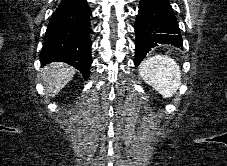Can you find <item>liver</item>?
I'll return each mask as SVG.
<instances>
[{
  "label": "liver",
  "instance_id": "obj_1",
  "mask_svg": "<svg viewBox=\"0 0 227 166\" xmlns=\"http://www.w3.org/2000/svg\"><path fill=\"white\" fill-rule=\"evenodd\" d=\"M75 69L62 62H54L42 69V80L45 92L54 97L60 90L73 79Z\"/></svg>",
  "mask_w": 227,
  "mask_h": 166
}]
</instances>
